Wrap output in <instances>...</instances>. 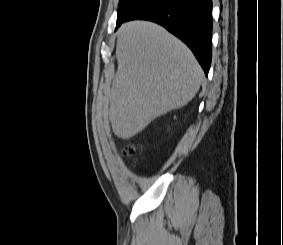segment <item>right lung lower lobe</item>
<instances>
[{"label": "right lung lower lobe", "instance_id": "98d812e1", "mask_svg": "<svg viewBox=\"0 0 283 245\" xmlns=\"http://www.w3.org/2000/svg\"><path fill=\"white\" fill-rule=\"evenodd\" d=\"M133 19L164 26L188 45L208 75L212 58V0H148L123 22Z\"/></svg>", "mask_w": 283, "mask_h": 245}]
</instances>
